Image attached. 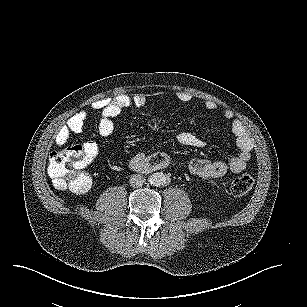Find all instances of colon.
<instances>
[{
  "instance_id": "5ec220e1",
  "label": "colon",
  "mask_w": 307,
  "mask_h": 307,
  "mask_svg": "<svg viewBox=\"0 0 307 307\" xmlns=\"http://www.w3.org/2000/svg\"><path fill=\"white\" fill-rule=\"evenodd\" d=\"M88 163L82 147L71 146L51 153L48 173L59 190L84 193L91 185V176L86 171ZM254 179L249 174L234 177L229 185L230 192L242 196L250 192Z\"/></svg>"
}]
</instances>
